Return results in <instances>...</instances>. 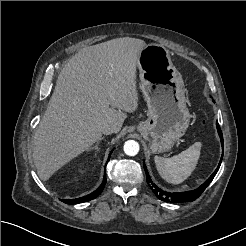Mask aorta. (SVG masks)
Here are the masks:
<instances>
[{"mask_svg":"<svg viewBox=\"0 0 246 246\" xmlns=\"http://www.w3.org/2000/svg\"><path fill=\"white\" fill-rule=\"evenodd\" d=\"M124 152L128 156H135L139 152V144L135 140H128L124 144Z\"/></svg>","mask_w":246,"mask_h":246,"instance_id":"aorta-1","label":"aorta"}]
</instances>
